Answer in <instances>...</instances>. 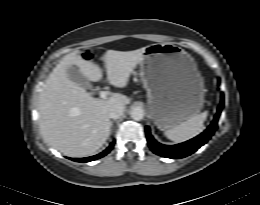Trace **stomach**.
<instances>
[{"instance_id":"0dacf381","label":"stomach","mask_w":260,"mask_h":205,"mask_svg":"<svg viewBox=\"0 0 260 205\" xmlns=\"http://www.w3.org/2000/svg\"><path fill=\"white\" fill-rule=\"evenodd\" d=\"M139 74L149 116L158 128H173L203 108L204 79L194 58L181 47L173 43L145 47Z\"/></svg>"}]
</instances>
